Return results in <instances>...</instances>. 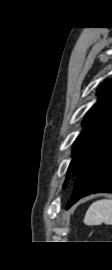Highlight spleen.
<instances>
[{
  "instance_id": "1",
  "label": "spleen",
  "mask_w": 112,
  "mask_h": 270,
  "mask_svg": "<svg viewBox=\"0 0 112 270\" xmlns=\"http://www.w3.org/2000/svg\"><path fill=\"white\" fill-rule=\"evenodd\" d=\"M84 223L89 226L112 225V200L102 199L98 200L88 208Z\"/></svg>"
}]
</instances>
